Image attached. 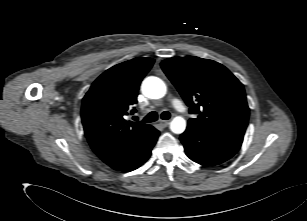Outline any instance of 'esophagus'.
Masks as SVG:
<instances>
[{"instance_id":"obj_1","label":"esophagus","mask_w":307,"mask_h":221,"mask_svg":"<svg viewBox=\"0 0 307 221\" xmlns=\"http://www.w3.org/2000/svg\"><path fill=\"white\" fill-rule=\"evenodd\" d=\"M170 123V120H162L159 122V124L163 127H167Z\"/></svg>"}]
</instances>
